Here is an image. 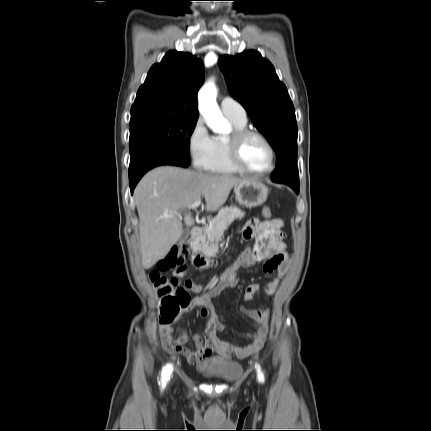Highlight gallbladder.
<instances>
[{
    "mask_svg": "<svg viewBox=\"0 0 431 431\" xmlns=\"http://www.w3.org/2000/svg\"><path fill=\"white\" fill-rule=\"evenodd\" d=\"M189 237V229L188 228H184L181 234V237L178 241V244H183Z\"/></svg>",
    "mask_w": 431,
    "mask_h": 431,
    "instance_id": "obj_1",
    "label": "gallbladder"
}]
</instances>
